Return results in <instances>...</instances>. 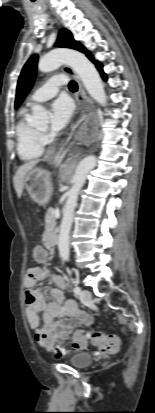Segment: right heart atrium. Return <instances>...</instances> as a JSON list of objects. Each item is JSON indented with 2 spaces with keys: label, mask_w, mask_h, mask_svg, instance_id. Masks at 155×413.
Segmentation results:
<instances>
[{
  "label": "right heart atrium",
  "mask_w": 155,
  "mask_h": 413,
  "mask_svg": "<svg viewBox=\"0 0 155 413\" xmlns=\"http://www.w3.org/2000/svg\"><path fill=\"white\" fill-rule=\"evenodd\" d=\"M42 139H43L44 142H46L48 140L47 136L44 135V134L42 135Z\"/></svg>",
  "instance_id": "d8ad5b80"
}]
</instances>
